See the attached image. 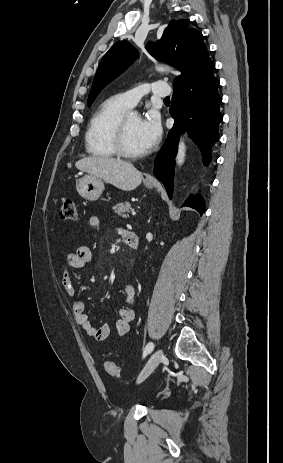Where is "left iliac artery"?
<instances>
[{"label": "left iliac artery", "mask_w": 283, "mask_h": 463, "mask_svg": "<svg viewBox=\"0 0 283 463\" xmlns=\"http://www.w3.org/2000/svg\"><path fill=\"white\" fill-rule=\"evenodd\" d=\"M153 348L154 344L152 342H149L143 351V357H146L153 350Z\"/></svg>", "instance_id": "obj_1"}]
</instances>
